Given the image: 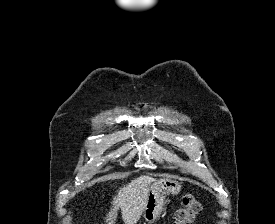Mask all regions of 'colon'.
Masks as SVG:
<instances>
[{
  "instance_id": "1",
  "label": "colon",
  "mask_w": 275,
  "mask_h": 224,
  "mask_svg": "<svg viewBox=\"0 0 275 224\" xmlns=\"http://www.w3.org/2000/svg\"><path fill=\"white\" fill-rule=\"evenodd\" d=\"M183 206L179 208L173 220L175 224H191L195 216L201 211L200 202L191 194H185L182 198Z\"/></svg>"
}]
</instances>
